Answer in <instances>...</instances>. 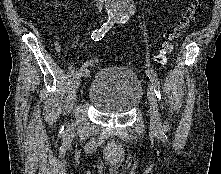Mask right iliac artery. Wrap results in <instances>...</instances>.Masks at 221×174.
Returning a JSON list of instances; mask_svg holds the SVG:
<instances>
[{
    "instance_id": "1",
    "label": "right iliac artery",
    "mask_w": 221,
    "mask_h": 174,
    "mask_svg": "<svg viewBox=\"0 0 221 174\" xmlns=\"http://www.w3.org/2000/svg\"><path fill=\"white\" fill-rule=\"evenodd\" d=\"M114 25V20L109 19L107 22H105L100 29H97L92 32L91 38L94 41H99L101 40L106 32ZM83 76L88 77L89 76V70L86 68H81L79 70Z\"/></svg>"
}]
</instances>
